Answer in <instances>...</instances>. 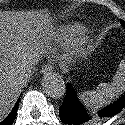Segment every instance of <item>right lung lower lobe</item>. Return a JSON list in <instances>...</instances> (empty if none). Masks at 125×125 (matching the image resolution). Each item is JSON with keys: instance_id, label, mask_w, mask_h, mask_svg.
Listing matches in <instances>:
<instances>
[{"instance_id": "obj_1", "label": "right lung lower lobe", "mask_w": 125, "mask_h": 125, "mask_svg": "<svg viewBox=\"0 0 125 125\" xmlns=\"http://www.w3.org/2000/svg\"><path fill=\"white\" fill-rule=\"evenodd\" d=\"M18 105H19V99L17 100L11 113L7 116V118L3 122L0 123V125H11L13 123V121L16 117Z\"/></svg>"}]
</instances>
